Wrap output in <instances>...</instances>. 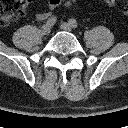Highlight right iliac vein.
<instances>
[{"mask_svg": "<svg viewBox=\"0 0 128 128\" xmlns=\"http://www.w3.org/2000/svg\"><path fill=\"white\" fill-rule=\"evenodd\" d=\"M50 31H51V27H50V26L44 25V26L42 27V33H43L44 35H48V34L50 33Z\"/></svg>", "mask_w": 128, "mask_h": 128, "instance_id": "right-iliac-vein-1", "label": "right iliac vein"}]
</instances>
